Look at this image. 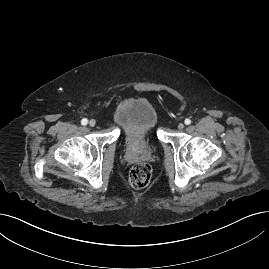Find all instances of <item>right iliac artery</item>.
<instances>
[{
	"instance_id": "right-iliac-artery-1",
	"label": "right iliac artery",
	"mask_w": 269,
	"mask_h": 269,
	"mask_svg": "<svg viewBox=\"0 0 269 269\" xmlns=\"http://www.w3.org/2000/svg\"><path fill=\"white\" fill-rule=\"evenodd\" d=\"M87 123H88V120H87L86 118H83V119L81 120V124H82V125H87Z\"/></svg>"
}]
</instances>
